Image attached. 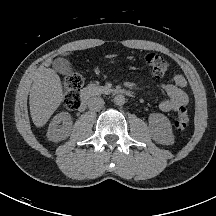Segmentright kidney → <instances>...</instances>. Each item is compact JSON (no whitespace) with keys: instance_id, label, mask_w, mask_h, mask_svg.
Masks as SVG:
<instances>
[{"instance_id":"ca27d5eb","label":"right kidney","mask_w":216,"mask_h":216,"mask_svg":"<svg viewBox=\"0 0 216 216\" xmlns=\"http://www.w3.org/2000/svg\"><path fill=\"white\" fill-rule=\"evenodd\" d=\"M62 123L61 126L59 124ZM72 119L68 112H61L53 117L47 131V138L53 142H59L66 139L72 129Z\"/></svg>"}]
</instances>
